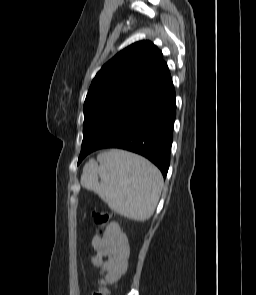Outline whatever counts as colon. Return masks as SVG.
<instances>
[{"mask_svg": "<svg viewBox=\"0 0 256 295\" xmlns=\"http://www.w3.org/2000/svg\"><path fill=\"white\" fill-rule=\"evenodd\" d=\"M92 220L97 232L101 233V229L109 222L110 215L106 211L96 210L92 212ZM96 285L93 295H109V289L102 278L97 280Z\"/></svg>", "mask_w": 256, "mask_h": 295, "instance_id": "obj_1", "label": "colon"}]
</instances>
